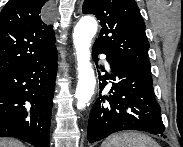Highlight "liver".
<instances>
[{
  "mask_svg": "<svg viewBox=\"0 0 183 147\" xmlns=\"http://www.w3.org/2000/svg\"><path fill=\"white\" fill-rule=\"evenodd\" d=\"M0 147H24V145L17 140L3 138L0 139Z\"/></svg>",
  "mask_w": 183,
  "mask_h": 147,
  "instance_id": "6515ba94",
  "label": "liver"
}]
</instances>
